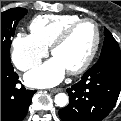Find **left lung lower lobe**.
Instances as JSON below:
<instances>
[{
    "instance_id": "left-lung-lower-lobe-1",
    "label": "left lung lower lobe",
    "mask_w": 121,
    "mask_h": 121,
    "mask_svg": "<svg viewBox=\"0 0 121 121\" xmlns=\"http://www.w3.org/2000/svg\"><path fill=\"white\" fill-rule=\"evenodd\" d=\"M121 90V61L94 65L67 89L69 104L59 110L63 121H101L113 109Z\"/></svg>"
}]
</instances>
